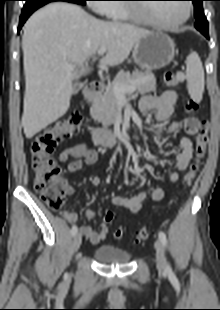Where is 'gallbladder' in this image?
Wrapping results in <instances>:
<instances>
[{
  "label": "gallbladder",
  "mask_w": 220,
  "mask_h": 310,
  "mask_svg": "<svg viewBox=\"0 0 220 310\" xmlns=\"http://www.w3.org/2000/svg\"><path fill=\"white\" fill-rule=\"evenodd\" d=\"M82 87H83V83H80V82L74 83L72 93L77 94L82 89Z\"/></svg>",
  "instance_id": "gallbladder-1"
}]
</instances>
